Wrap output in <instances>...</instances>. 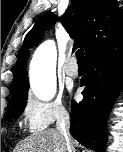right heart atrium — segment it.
I'll list each match as a JSON object with an SVG mask.
<instances>
[{"label":"right heart atrium","mask_w":123,"mask_h":152,"mask_svg":"<svg viewBox=\"0 0 123 152\" xmlns=\"http://www.w3.org/2000/svg\"><path fill=\"white\" fill-rule=\"evenodd\" d=\"M23 117L30 131L40 132L55 122L66 119L68 110L59 98L42 101L35 97H29L23 108Z\"/></svg>","instance_id":"obj_1"}]
</instances>
